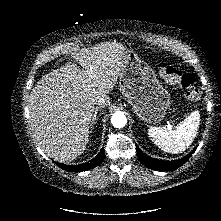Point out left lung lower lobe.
Segmentation results:
<instances>
[{
    "label": "left lung lower lobe",
    "instance_id": "0a47b994",
    "mask_svg": "<svg viewBox=\"0 0 221 221\" xmlns=\"http://www.w3.org/2000/svg\"><path fill=\"white\" fill-rule=\"evenodd\" d=\"M195 149L196 148H194L193 151H195ZM136 150L138 158L143 165H145L149 169L158 170V171H168L176 169L182 166L191 157L190 153L179 160L165 161L147 156L138 147H136Z\"/></svg>",
    "mask_w": 221,
    "mask_h": 221
}]
</instances>
